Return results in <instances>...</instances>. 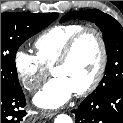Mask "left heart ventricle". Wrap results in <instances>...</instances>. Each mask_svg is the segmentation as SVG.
<instances>
[{"mask_svg":"<svg viewBox=\"0 0 123 123\" xmlns=\"http://www.w3.org/2000/svg\"><path fill=\"white\" fill-rule=\"evenodd\" d=\"M100 61L99 43L93 34H87L76 45L69 61L53 71L65 78L74 91L85 87L93 78Z\"/></svg>","mask_w":123,"mask_h":123,"instance_id":"obj_1","label":"left heart ventricle"}]
</instances>
